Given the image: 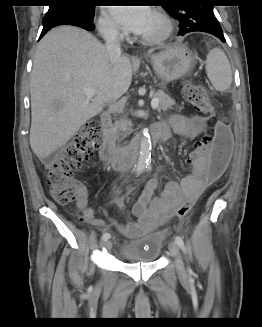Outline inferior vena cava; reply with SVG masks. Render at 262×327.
<instances>
[{
	"mask_svg": "<svg viewBox=\"0 0 262 327\" xmlns=\"http://www.w3.org/2000/svg\"><path fill=\"white\" fill-rule=\"evenodd\" d=\"M103 38L106 42V50L111 60H117L121 56L120 40L118 32L110 27L103 28Z\"/></svg>",
	"mask_w": 262,
	"mask_h": 327,
	"instance_id": "inferior-vena-cava-1",
	"label": "inferior vena cava"
}]
</instances>
